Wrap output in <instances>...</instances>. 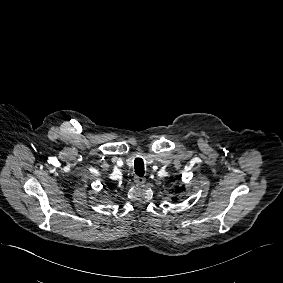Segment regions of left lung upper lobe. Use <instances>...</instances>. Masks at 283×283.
<instances>
[{"label":"left lung upper lobe","instance_id":"1","mask_svg":"<svg viewBox=\"0 0 283 283\" xmlns=\"http://www.w3.org/2000/svg\"><path fill=\"white\" fill-rule=\"evenodd\" d=\"M172 179V178H171ZM177 192H180V190H177ZM174 200H177V198L176 199H174Z\"/></svg>","mask_w":283,"mask_h":283}]
</instances>
